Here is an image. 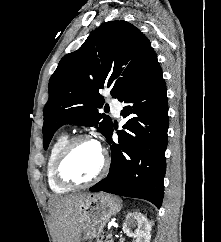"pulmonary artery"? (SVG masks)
I'll return each mask as SVG.
<instances>
[{
  "mask_svg": "<svg viewBox=\"0 0 221 242\" xmlns=\"http://www.w3.org/2000/svg\"><path fill=\"white\" fill-rule=\"evenodd\" d=\"M111 109L116 117L120 115L121 112V104L117 101H111L110 102Z\"/></svg>",
  "mask_w": 221,
  "mask_h": 242,
  "instance_id": "e3ab8cb5",
  "label": "pulmonary artery"
}]
</instances>
